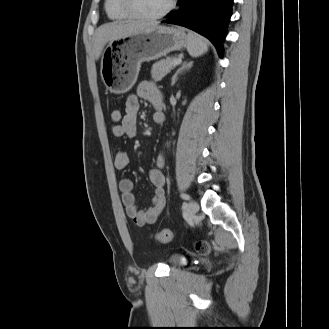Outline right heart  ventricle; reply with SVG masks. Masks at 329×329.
I'll use <instances>...</instances> for the list:
<instances>
[{"label": "right heart ventricle", "instance_id": "obj_1", "mask_svg": "<svg viewBox=\"0 0 329 329\" xmlns=\"http://www.w3.org/2000/svg\"><path fill=\"white\" fill-rule=\"evenodd\" d=\"M105 11L109 19L114 21H124L130 18L121 8L119 0H105Z\"/></svg>", "mask_w": 329, "mask_h": 329}]
</instances>
